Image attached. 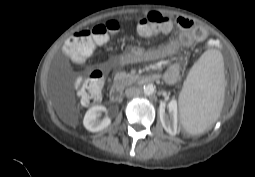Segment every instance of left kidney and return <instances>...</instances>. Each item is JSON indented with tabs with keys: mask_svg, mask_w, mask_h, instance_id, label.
<instances>
[{
	"mask_svg": "<svg viewBox=\"0 0 255 177\" xmlns=\"http://www.w3.org/2000/svg\"><path fill=\"white\" fill-rule=\"evenodd\" d=\"M169 115L165 114L164 108H160V120L164 129L171 135L177 133L178 111L177 102L171 100L168 103Z\"/></svg>",
	"mask_w": 255,
	"mask_h": 177,
	"instance_id": "1",
	"label": "left kidney"
}]
</instances>
